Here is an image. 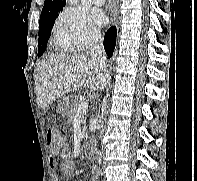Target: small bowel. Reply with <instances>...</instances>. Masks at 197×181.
<instances>
[{
  "label": "small bowel",
  "instance_id": "obj_1",
  "mask_svg": "<svg viewBox=\"0 0 197 181\" xmlns=\"http://www.w3.org/2000/svg\"><path fill=\"white\" fill-rule=\"evenodd\" d=\"M60 156L62 159L61 174L65 178H71L75 173V163L71 157L70 149L67 145H64L57 153L50 151L49 164L52 169H55L58 165L56 157ZM52 181H58L56 174H53Z\"/></svg>",
  "mask_w": 197,
  "mask_h": 181
}]
</instances>
